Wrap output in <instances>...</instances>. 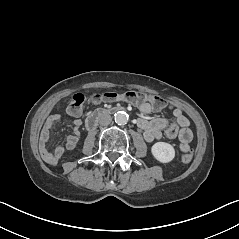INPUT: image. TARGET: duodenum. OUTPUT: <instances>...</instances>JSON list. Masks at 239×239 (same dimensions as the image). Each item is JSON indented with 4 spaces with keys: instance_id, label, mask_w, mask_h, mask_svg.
Returning <instances> with one entry per match:
<instances>
[{
    "instance_id": "1",
    "label": "duodenum",
    "mask_w": 239,
    "mask_h": 239,
    "mask_svg": "<svg viewBox=\"0 0 239 239\" xmlns=\"http://www.w3.org/2000/svg\"><path fill=\"white\" fill-rule=\"evenodd\" d=\"M119 110V108H112V109H105V108H98L94 111H92L88 116H87V119H86V128L88 130H92L96 127L99 119L106 115V114H109L111 112H115Z\"/></svg>"
}]
</instances>
